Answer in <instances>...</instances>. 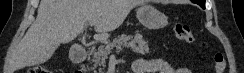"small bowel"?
<instances>
[{
    "mask_svg": "<svg viewBox=\"0 0 244 73\" xmlns=\"http://www.w3.org/2000/svg\"><path fill=\"white\" fill-rule=\"evenodd\" d=\"M132 70L134 73H191L185 67L174 69L162 59H139L133 63Z\"/></svg>",
    "mask_w": 244,
    "mask_h": 73,
    "instance_id": "1",
    "label": "small bowel"
}]
</instances>
